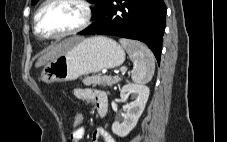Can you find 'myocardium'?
I'll use <instances>...</instances> for the list:
<instances>
[{
  "label": "myocardium",
  "instance_id": "1",
  "mask_svg": "<svg viewBox=\"0 0 227 142\" xmlns=\"http://www.w3.org/2000/svg\"><path fill=\"white\" fill-rule=\"evenodd\" d=\"M60 1H73L77 4H79L83 10V19L81 21V23L66 32H62L59 34H53V35H47V34H43L40 30H39V24H38V18L40 13L42 12V10L48 6L49 4L55 3V2H60ZM93 18V8L91 3L88 0H45L37 9L35 16H34V32L37 36H39L40 38L43 39H60L63 37H67L70 35H74L77 34L79 32H81L82 30H84L86 27L89 26V24L91 23Z\"/></svg>",
  "mask_w": 227,
  "mask_h": 142
}]
</instances>
